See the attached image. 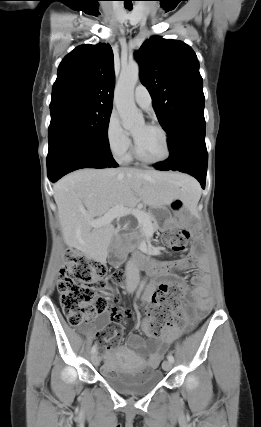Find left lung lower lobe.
Here are the masks:
<instances>
[{
    "mask_svg": "<svg viewBox=\"0 0 261 427\" xmlns=\"http://www.w3.org/2000/svg\"><path fill=\"white\" fill-rule=\"evenodd\" d=\"M170 156L154 164L157 170H178L194 176L205 187L208 155L205 145L204 116L180 120L168 133Z\"/></svg>",
    "mask_w": 261,
    "mask_h": 427,
    "instance_id": "1",
    "label": "left lung lower lobe"
}]
</instances>
